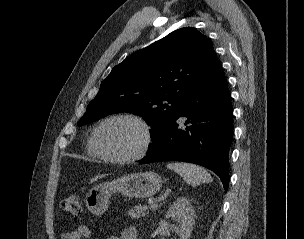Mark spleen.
Returning a JSON list of instances; mask_svg holds the SVG:
<instances>
[{
    "label": "spleen",
    "mask_w": 304,
    "mask_h": 239,
    "mask_svg": "<svg viewBox=\"0 0 304 239\" xmlns=\"http://www.w3.org/2000/svg\"><path fill=\"white\" fill-rule=\"evenodd\" d=\"M167 168L179 174L185 182L192 186L213 181L211 175L202 167L189 163H169Z\"/></svg>",
    "instance_id": "obj_1"
}]
</instances>
